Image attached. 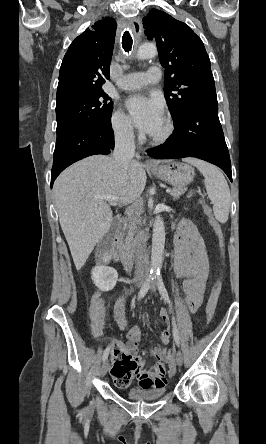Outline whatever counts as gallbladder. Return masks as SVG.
I'll use <instances>...</instances> for the list:
<instances>
[{"label": "gallbladder", "instance_id": "gallbladder-1", "mask_svg": "<svg viewBox=\"0 0 266 444\" xmlns=\"http://www.w3.org/2000/svg\"><path fill=\"white\" fill-rule=\"evenodd\" d=\"M116 225H117V222L114 221L112 226H111L110 231L104 236V238L102 239V241L100 243V250L104 249L106 247H109V245H110V243L112 241L115 229H116Z\"/></svg>", "mask_w": 266, "mask_h": 444}]
</instances>
